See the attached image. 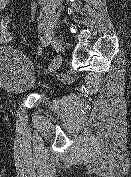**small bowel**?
I'll return each instance as SVG.
<instances>
[{"mask_svg":"<svg viewBox=\"0 0 131 177\" xmlns=\"http://www.w3.org/2000/svg\"><path fill=\"white\" fill-rule=\"evenodd\" d=\"M10 0H0V11L5 9V7L8 5Z\"/></svg>","mask_w":131,"mask_h":177,"instance_id":"c3829d8e","label":"small bowel"}]
</instances>
